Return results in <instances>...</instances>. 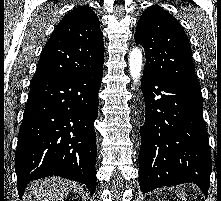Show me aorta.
<instances>
[{
    "label": "aorta",
    "mask_w": 221,
    "mask_h": 201,
    "mask_svg": "<svg viewBox=\"0 0 221 201\" xmlns=\"http://www.w3.org/2000/svg\"><path fill=\"white\" fill-rule=\"evenodd\" d=\"M143 57L139 48H133L129 54V71L135 85L138 84L141 76Z\"/></svg>",
    "instance_id": "obj_1"
}]
</instances>
